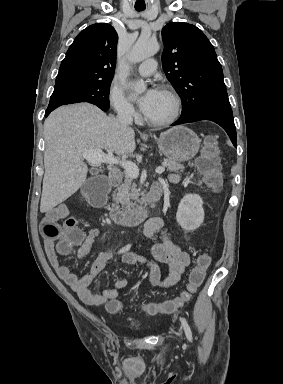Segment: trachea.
Returning <instances> with one entry per match:
<instances>
[{
  "mask_svg": "<svg viewBox=\"0 0 283 384\" xmlns=\"http://www.w3.org/2000/svg\"><path fill=\"white\" fill-rule=\"evenodd\" d=\"M135 10H137L138 12H142L143 10H145V8H136Z\"/></svg>",
  "mask_w": 283,
  "mask_h": 384,
  "instance_id": "3493384b",
  "label": "trachea"
}]
</instances>
